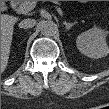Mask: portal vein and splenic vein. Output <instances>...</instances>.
<instances>
[{
  "mask_svg": "<svg viewBox=\"0 0 109 109\" xmlns=\"http://www.w3.org/2000/svg\"><path fill=\"white\" fill-rule=\"evenodd\" d=\"M54 3L56 4L55 8L57 9V12L62 16L63 12L61 8L58 6L59 3L57 1H55ZM36 4H37V1H26L19 7V12L20 13L29 12L35 8Z\"/></svg>",
  "mask_w": 109,
  "mask_h": 109,
  "instance_id": "18ae733b",
  "label": "portal vein and splenic vein"
}]
</instances>
